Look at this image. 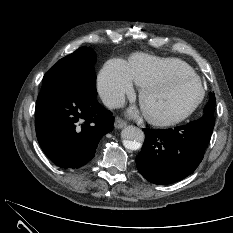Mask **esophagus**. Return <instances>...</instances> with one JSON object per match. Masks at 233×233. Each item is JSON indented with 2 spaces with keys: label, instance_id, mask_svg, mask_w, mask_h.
Returning <instances> with one entry per match:
<instances>
[{
  "label": "esophagus",
  "instance_id": "obj_1",
  "mask_svg": "<svg viewBox=\"0 0 233 233\" xmlns=\"http://www.w3.org/2000/svg\"><path fill=\"white\" fill-rule=\"evenodd\" d=\"M126 124L127 123L124 120H122L121 118H119V117L115 118V122H114V127L115 128L121 129V128L125 127Z\"/></svg>",
  "mask_w": 233,
  "mask_h": 233
}]
</instances>
